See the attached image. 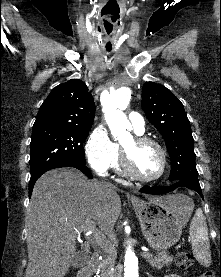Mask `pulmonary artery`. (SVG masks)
<instances>
[{"label":"pulmonary artery","mask_w":221,"mask_h":277,"mask_svg":"<svg viewBox=\"0 0 221 277\" xmlns=\"http://www.w3.org/2000/svg\"><path fill=\"white\" fill-rule=\"evenodd\" d=\"M129 120L137 133H143L145 130V122L143 117L137 112H130Z\"/></svg>","instance_id":"e3ab8cb5"}]
</instances>
